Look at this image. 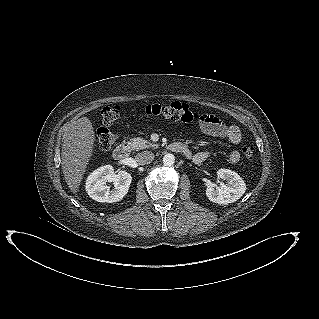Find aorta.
Masks as SVG:
<instances>
[{"instance_id":"aorta-1","label":"aorta","mask_w":319,"mask_h":319,"mask_svg":"<svg viewBox=\"0 0 319 319\" xmlns=\"http://www.w3.org/2000/svg\"><path fill=\"white\" fill-rule=\"evenodd\" d=\"M163 163L165 166H172L175 163V156L173 154H165L163 157Z\"/></svg>"}]
</instances>
